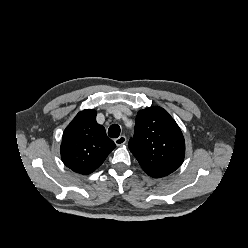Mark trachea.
I'll return each mask as SVG.
<instances>
[{"label":"trachea","instance_id":"obj_1","mask_svg":"<svg viewBox=\"0 0 248 248\" xmlns=\"http://www.w3.org/2000/svg\"><path fill=\"white\" fill-rule=\"evenodd\" d=\"M120 131H121L120 127L116 124H113L108 129V135L111 138H117L120 135Z\"/></svg>","mask_w":248,"mask_h":248}]
</instances>
